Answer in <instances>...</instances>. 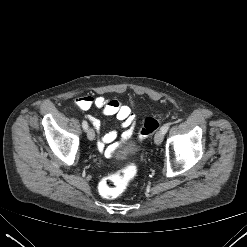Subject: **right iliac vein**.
I'll list each match as a JSON object with an SVG mask.
<instances>
[{
	"label": "right iliac vein",
	"mask_w": 247,
	"mask_h": 247,
	"mask_svg": "<svg viewBox=\"0 0 247 247\" xmlns=\"http://www.w3.org/2000/svg\"><path fill=\"white\" fill-rule=\"evenodd\" d=\"M87 137L91 141L95 139V132L92 128L87 129Z\"/></svg>",
	"instance_id": "obj_1"
}]
</instances>
